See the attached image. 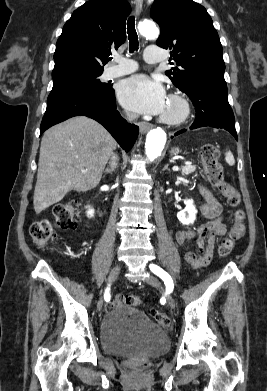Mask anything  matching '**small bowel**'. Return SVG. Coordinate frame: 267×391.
Returning <instances> with one entry per match:
<instances>
[{
    "mask_svg": "<svg viewBox=\"0 0 267 391\" xmlns=\"http://www.w3.org/2000/svg\"><path fill=\"white\" fill-rule=\"evenodd\" d=\"M200 193L204 199L201 212L207 221L192 230H179L176 233L178 244L196 239L198 245L197 252H187L185 260L195 269L206 267L211 261L216 240L227 231V226L222 219V205L214 194L204 186H200Z\"/></svg>",
    "mask_w": 267,
    "mask_h": 391,
    "instance_id": "1",
    "label": "small bowel"
}]
</instances>
